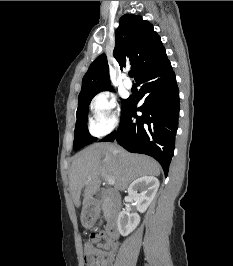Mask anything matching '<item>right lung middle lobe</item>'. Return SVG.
<instances>
[{
	"instance_id": "dd1d6c3e",
	"label": "right lung middle lobe",
	"mask_w": 233,
	"mask_h": 266,
	"mask_svg": "<svg viewBox=\"0 0 233 266\" xmlns=\"http://www.w3.org/2000/svg\"><path fill=\"white\" fill-rule=\"evenodd\" d=\"M94 95L79 99L78 109L76 112L77 121L74 132V143H73L74 150H79L80 148L97 140V138H94L89 134L87 128L88 107ZM126 102L127 99L122 100V108L124 107Z\"/></svg>"
}]
</instances>
